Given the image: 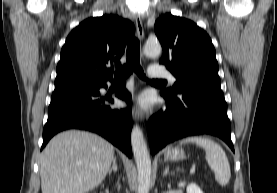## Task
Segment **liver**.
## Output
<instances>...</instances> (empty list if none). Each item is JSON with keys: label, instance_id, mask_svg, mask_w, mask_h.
<instances>
[{"label": "liver", "instance_id": "liver-1", "mask_svg": "<svg viewBox=\"0 0 277 193\" xmlns=\"http://www.w3.org/2000/svg\"><path fill=\"white\" fill-rule=\"evenodd\" d=\"M113 158L114 147L97 134L59 133L41 154L42 193H87L105 179Z\"/></svg>", "mask_w": 277, "mask_h": 193}]
</instances>
